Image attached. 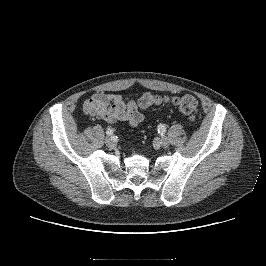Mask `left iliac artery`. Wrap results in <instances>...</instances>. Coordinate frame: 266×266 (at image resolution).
<instances>
[{
	"label": "left iliac artery",
	"mask_w": 266,
	"mask_h": 266,
	"mask_svg": "<svg viewBox=\"0 0 266 266\" xmlns=\"http://www.w3.org/2000/svg\"><path fill=\"white\" fill-rule=\"evenodd\" d=\"M166 132V127L164 124H160L158 126V133H160L161 135H163Z\"/></svg>",
	"instance_id": "obj_1"
}]
</instances>
